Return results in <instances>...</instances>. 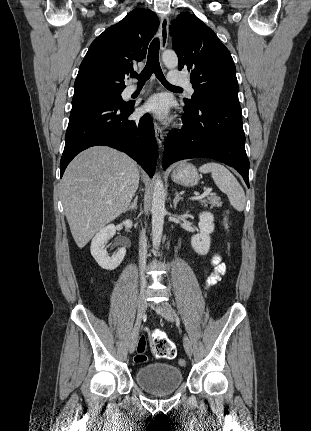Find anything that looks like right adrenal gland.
Instances as JSON below:
<instances>
[{
	"mask_svg": "<svg viewBox=\"0 0 311 431\" xmlns=\"http://www.w3.org/2000/svg\"><path fill=\"white\" fill-rule=\"evenodd\" d=\"M137 202H138V196H135L134 202H132L131 206H128L125 212H134V210H137ZM125 212H123V214H125Z\"/></svg>",
	"mask_w": 311,
	"mask_h": 431,
	"instance_id": "right-adrenal-gland-1",
	"label": "right adrenal gland"
}]
</instances>
